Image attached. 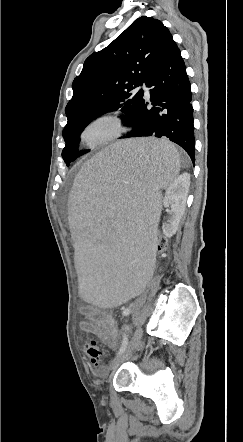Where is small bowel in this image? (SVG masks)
<instances>
[{"label":"small bowel","mask_w":243,"mask_h":442,"mask_svg":"<svg viewBox=\"0 0 243 442\" xmlns=\"http://www.w3.org/2000/svg\"><path fill=\"white\" fill-rule=\"evenodd\" d=\"M82 313L85 316L81 322L82 330L87 334L98 336L110 348H116L118 330L113 315L90 306L84 307Z\"/></svg>","instance_id":"c3829d8e"}]
</instances>
